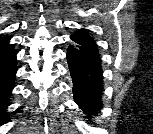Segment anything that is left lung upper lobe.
<instances>
[{
  "instance_id": "obj_1",
  "label": "left lung upper lobe",
  "mask_w": 153,
  "mask_h": 134,
  "mask_svg": "<svg viewBox=\"0 0 153 134\" xmlns=\"http://www.w3.org/2000/svg\"><path fill=\"white\" fill-rule=\"evenodd\" d=\"M71 39L80 45L97 50V45L95 41L91 39L90 36L87 35L83 29L71 35Z\"/></svg>"
}]
</instances>
